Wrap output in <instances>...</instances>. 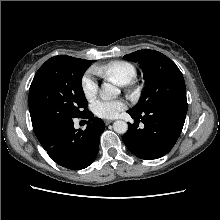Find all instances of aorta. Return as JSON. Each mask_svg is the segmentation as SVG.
I'll return each mask as SVG.
<instances>
[{"label": "aorta", "instance_id": "1", "mask_svg": "<svg viewBox=\"0 0 220 220\" xmlns=\"http://www.w3.org/2000/svg\"><path fill=\"white\" fill-rule=\"evenodd\" d=\"M120 94V90L110 84V83H103L101 86V96L103 99H112L115 98ZM113 129L116 133L124 134L128 130V124L125 121L117 120L113 123Z\"/></svg>", "mask_w": 220, "mask_h": 220}]
</instances>
